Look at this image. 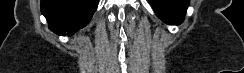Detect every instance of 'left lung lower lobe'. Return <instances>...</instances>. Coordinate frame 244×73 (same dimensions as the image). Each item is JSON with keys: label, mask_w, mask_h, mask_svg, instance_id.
Returning <instances> with one entry per match:
<instances>
[{"label": "left lung lower lobe", "mask_w": 244, "mask_h": 73, "mask_svg": "<svg viewBox=\"0 0 244 73\" xmlns=\"http://www.w3.org/2000/svg\"><path fill=\"white\" fill-rule=\"evenodd\" d=\"M157 16L167 24L182 22L189 0H150Z\"/></svg>", "instance_id": "obj_1"}]
</instances>
